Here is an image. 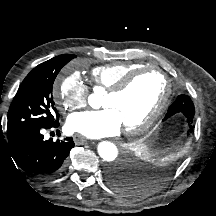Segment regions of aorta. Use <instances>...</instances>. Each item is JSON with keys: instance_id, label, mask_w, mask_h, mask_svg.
<instances>
[{"instance_id": "obj_1", "label": "aorta", "mask_w": 216, "mask_h": 216, "mask_svg": "<svg viewBox=\"0 0 216 216\" xmlns=\"http://www.w3.org/2000/svg\"><path fill=\"white\" fill-rule=\"evenodd\" d=\"M100 101V96L97 93L91 94L88 97L89 104L94 108H97ZM98 153L104 161L111 162L117 158L118 148L112 142L103 141L98 144Z\"/></svg>"}]
</instances>
